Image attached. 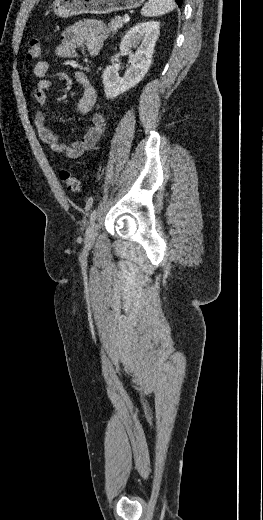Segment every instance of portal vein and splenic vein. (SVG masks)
Segmentation results:
<instances>
[{
    "mask_svg": "<svg viewBox=\"0 0 263 520\" xmlns=\"http://www.w3.org/2000/svg\"><path fill=\"white\" fill-rule=\"evenodd\" d=\"M129 19H130L129 15H128V14H125L123 20H124L125 22H127V21H129Z\"/></svg>",
    "mask_w": 263,
    "mask_h": 520,
    "instance_id": "obj_1",
    "label": "portal vein and splenic vein"
}]
</instances>
